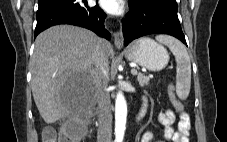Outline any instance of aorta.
Here are the masks:
<instances>
[{
	"label": "aorta",
	"mask_w": 227,
	"mask_h": 142,
	"mask_svg": "<svg viewBox=\"0 0 227 142\" xmlns=\"http://www.w3.org/2000/svg\"><path fill=\"white\" fill-rule=\"evenodd\" d=\"M127 103L121 92L117 93L115 100V140L122 142L126 129Z\"/></svg>",
	"instance_id": "762f6f07"
}]
</instances>
